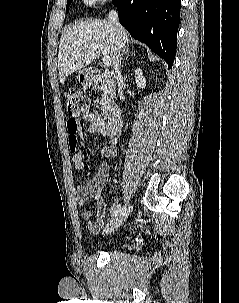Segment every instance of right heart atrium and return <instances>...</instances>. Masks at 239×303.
I'll list each match as a JSON object with an SVG mask.
<instances>
[{"label":"right heart atrium","mask_w":239,"mask_h":303,"mask_svg":"<svg viewBox=\"0 0 239 303\" xmlns=\"http://www.w3.org/2000/svg\"><path fill=\"white\" fill-rule=\"evenodd\" d=\"M85 5L92 6L99 3H104L107 0H82Z\"/></svg>","instance_id":"right-heart-atrium-1"}]
</instances>
